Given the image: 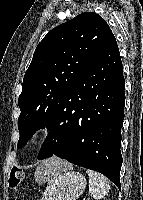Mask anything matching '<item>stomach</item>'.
Masks as SVG:
<instances>
[{
  "label": "stomach",
  "instance_id": "obj_1",
  "mask_svg": "<svg viewBox=\"0 0 143 200\" xmlns=\"http://www.w3.org/2000/svg\"><path fill=\"white\" fill-rule=\"evenodd\" d=\"M86 184L83 174L69 168L60 169L48 179V186L41 200H77Z\"/></svg>",
  "mask_w": 143,
  "mask_h": 200
}]
</instances>
